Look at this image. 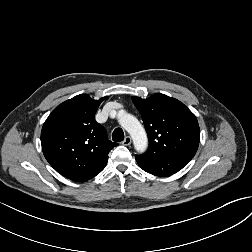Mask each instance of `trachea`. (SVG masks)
<instances>
[{
	"label": "trachea",
	"mask_w": 252,
	"mask_h": 252,
	"mask_svg": "<svg viewBox=\"0 0 252 252\" xmlns=\"http://www.w3.org/2000/svg\"><path fill=\"white\" fill-rule=\"evenodd\" d=\"M112 139L115 142H121L124 140V132L121 128H116L112 133Z\"/></svg>",
	"instance_id": "1"
}]
</instances>
